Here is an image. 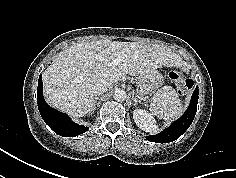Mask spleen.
Instances as JSON below:
<instances>
[{
    "label": "spleen",
    "instance_id": "1",
    "mask_svg": "<svg viewBox=\"0 0 236 178\" xmlns=\"http://www.w3.org/2000/svg\"><path fill=\"white\" fill-rule=\"evenodd\" d=\"M150 109L158 118L170 121L181 116L183 105L173 87L163 86L155 93Z\"/></svg>",
    "mask_w": 236,
    "mask_h": 178
}]
</instances>
